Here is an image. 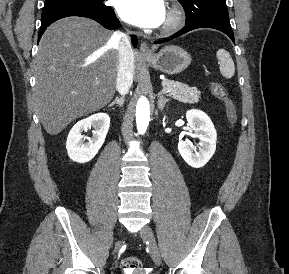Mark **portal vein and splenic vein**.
Listing matches in <instances>:
<instances>
[{
	"label": "portal vein and splenic vein",
	"instance_id": "portal-vein-and-splenic-vein-1",
	"mask_svg": "<svg viewBox=\"0 0 289 274\" xmlns=\"http://www.w3.org/2000/svg\"><path fill=\"white\" fill-rule=\"evenodd\" d=\"M170 90L168 88H163L162 92L163 93H168Z\"/></svg>",
	"mask_w": 289,
	"mask_h": 274
}]
</instances>
